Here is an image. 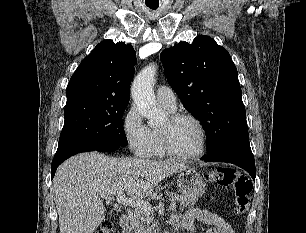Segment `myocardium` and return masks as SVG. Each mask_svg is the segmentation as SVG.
<instances>
[{
	"mask_svg": "<svg viewBox=\"0 0 306 233\" xmlns=\"http://www.w3.org/2000/svg\"><path fill=\"white\" fill-rule=\"evenodd\" d=\"M169 119H170L171 124H174L181 120H186V119L193 121L197 125L200 131V134H201V146H200V149L195 153H181L178 150H176L174 146L172 145L169 132L167 130H160L162 144H163V148L165 152L168 155H171V156H174L180 159H195V158L201 157L205 153L206 147H207V132H206V129L202 121L195 115L191 113H186V112L174 113L169 117Z\"/></svg>",
	"mask_w": 306,
	"mask_h": 233,
	"instance_id": "myocardium-1",
	"label": "myocardium"
}]
</instances>
